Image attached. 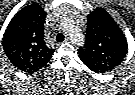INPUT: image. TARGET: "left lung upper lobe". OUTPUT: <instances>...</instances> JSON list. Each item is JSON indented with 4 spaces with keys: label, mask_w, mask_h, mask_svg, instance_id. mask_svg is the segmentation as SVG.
<instances>
[{
    "label": "left lung upper lobe",
    "mask_w": 135,
    "mask_h": 95,
    "mask_svg": "<svg viewBox=\"0 0 135 95\" xmlns=\"http://www.w3.org/2000/svg\"><path fill=\"white\" fill-rule=\"evenodd\" d=\"M127 49L122 30L106 11L97 9L89 14L85 45L78 50L89 69L96 73L114 69L124 60Z\"/></svg>",
    "instance_id": "obj_1"
}]
</instances>
